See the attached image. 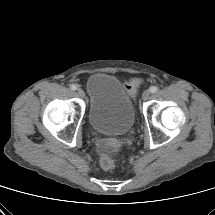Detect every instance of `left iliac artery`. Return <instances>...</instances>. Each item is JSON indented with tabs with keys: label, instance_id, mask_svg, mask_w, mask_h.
<instances>
[{
	"label": "left iliac artery",
	"instance_id": "44dca946",
	"mask_svg": "<svg viewBox=\"0 0 215 215\" xmlns=\"http://www.w3.org/2000/svg\"><path fill=\"white\" fill-rule=\"evenodd\" d=\"M157 91H158V88H157L156 86L150 87V92H151V93H155V92H157Z\"/></svg>",
	"mask_w": 215,
	"mask_h": 215
}]
</instances>
